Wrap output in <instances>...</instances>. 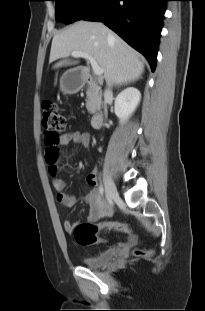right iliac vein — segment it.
Wrapping results in <instances>:
<instances>
[{
    "mask_svg": "<svg viewBox=\"0 0 205 311\" xmlns=\"http://www.w3.org/2000/svg\"><path fill=\"white\" fill-rule=\"evenodd\" d=\"M104 183H105V190H106V195L108 200L111 202L115 199L118 198V192L116 189V186L114 184L113 179L111 176L108 174V172H105V177H104Z\"/></svg>",
    "mask_w": 205,
    "mask_h": 311,
    "instance_id": "right-iliac-vein-1",
    "label": "right iliac vein"
}]
</instances>
